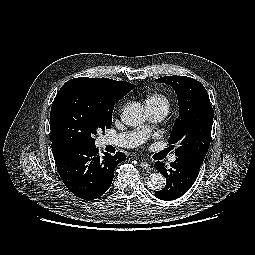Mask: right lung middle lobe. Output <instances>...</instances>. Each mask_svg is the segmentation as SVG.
Returning <instances> with one entry per match:
<instances>
[{"mask_svg":"<svg viewBox=\"0 0 255 255\" xmlns=\"http://www.w3.org/2000/svg\"><path fill=\"white\" fill-rule=\"evenodd\" d=\"M115 102L100 93L89 78L66 82L51 108V142L95 145L97 132L111 127Z\"/></svg>","mask_w":255,"mask_h":255,"instance_id":"1","label":"right lung middle lobe"}]
</instances>
